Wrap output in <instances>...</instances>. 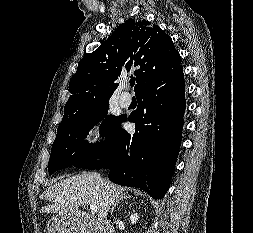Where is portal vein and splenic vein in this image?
Returning <instances> with one entry per match:
<instances>
[{
	"label": "portal vein and splenic vein",
	"instance_id": "1",
	"mask_svg": "<svg viewBox=\"0 0 253 233\" xmlns=\"http://www.w3.org/2000/svg\"><path fill=\"white\" fill-rule=\"evenodd\" d=\"M89 208H90L91 212H97L98 211V208H97L96 205L92 204V205L89 206Z\"/></svg>",
	"mask_w": 253,
	"mask_h": 233
}]
</instances>
